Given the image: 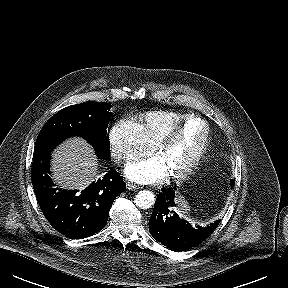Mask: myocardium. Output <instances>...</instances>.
I'll return each instance as SVG.
<instances>
[{"instance_id":"f54148a6","label":"myocardium","mask_w":288,"mask_h":288,"mask_svg":"<svg viewBox=\"0 0 288 288\" xmlns=\"http://www.w3.org/2000/svg\"><path fill=\"white\" fill-rule=\"evenodd\" d=\"M191 120H200L203 122L206 126V134L204 138V142L199 149L198 153L195 155V157L192 159V161L180 172L178 173H172L170 174V177L172 179L176 180H182L188 177L200 164L202 159L204 158L206 152L209 149L210 141H211V127L210 124L206 119L201 117L200 115L196 114H190L187 117L183 118L182 120L176 122L174 125H172L165 133H163L157 142L154 145V152L158 153L168 145H170L174 139L176 138L178 132L181 130V128L189 121Z\"/></svg>"}]
</instances>
